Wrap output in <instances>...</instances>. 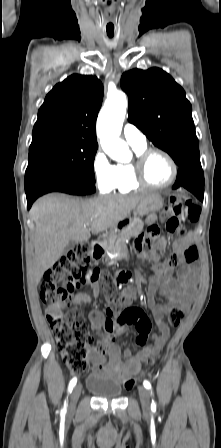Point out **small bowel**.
Instances as JSON below:
<instances>
[{"mask_svg":"<svg viewBox=\"0 0 221 448\" xmlns=\"http://www.w3.org/2000/svg\"><path fill=\"white\" fill-rule=\"evenodd\" d=\"M154 221V218L150 219L151 228L149 236L147 238H138L136 248L142 250L147 245H150L149 252L157 260L152 267L153 275L148 285L147 305L152 311L159 334L153 335L151 345L136 355H133L130 349H126L123 352V358H121L120 348L113 336L106 337L97 346H93L89 350L93 370L95 372L109 373L114 377L113 379L120 383L137 371L139 365L147 357L156 355L165 345L169 338V327L165 323L164 317L175 308L180 309L182 312H187L190 309L198 279L196 267L193 264L182 262L179 257L180 252L190 243V239L187 236H183L175 242L173 255L162 262L158 261L155 251L163 250L167 241L165 236L157 233ZM177 266H180L178 280L173 281L171 275ZM92 289L93 294L98 296L100 287L97 281L92 283ZM157 292L168 299L166 305H157L155 303L154 295ZM133 298L134 291L132 289H125L120 297H118L119 308L110 302L109 307L106 309V314L98 309L90 311L88 318L93 331L100 333L105 329L107 332H112L106 329V324L112 321V319H117L119 325L115 333L116 336L122 335L132 325L126 322L123 312L126 308L132 306ZM91 302L92 297L90 295L77 293L72 297L70 304L66 308L79 304H90ZM52 311H56V308L48 307L46 309L47 315Z\"/></svg>","mask_w":221,"mask_h":448,"instance_id":"obj_1","label":"small bowel"}]
</instances>
